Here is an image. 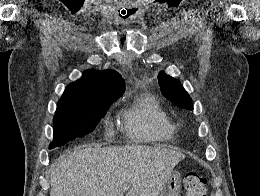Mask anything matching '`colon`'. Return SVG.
Returning a JSON list of instances; mask_svg holds the SVG:
<instances>
[{
  "mask_svg": "<svg viewBox=\"0 0 260 196\" xmlns=\"http://www.w3.org/2000/svg\"><path fill=\"white\" fill-rule=\"evenodd\" d=\"M186 196H206L205 176L197 172H188L183 178Z\"/></svg>",
  "mask_w": 260,
  "mask_h": 196,
  "instance_id": "colon-1",
  "label": "colon"
}]
</instances>
